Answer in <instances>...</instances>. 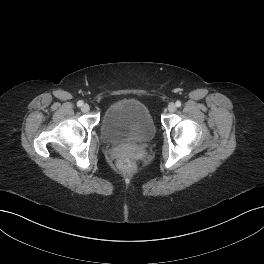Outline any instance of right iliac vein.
<instances>
[{"mask_svg": "<svg viewBox=\"0 0 264 264\" xmlns=\"http://www.w3.org/2000/svg\"><path fill=\"white\" fill-rule=\"evenodd\" d=\"M82 112L86 113L90 110V107L88 104H84L81 108Z\"/></svg>", "mask_w": 264, "mask_h": 264, "instance_id": "right-iliac-vein-1", "label": "right iliac vein"}]
</instances>
